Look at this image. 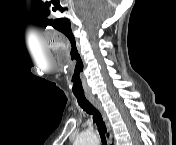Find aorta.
<instances>
[{"label":"aorta","instance_id":"obj_1","mask_svg":"<svg viewBox=\"0 0 176 145\" xmlns=\"http://www.w3.org/2000/svg\"><path fill=\"white\" fill-rule=\"evenodd\" d=\"M76 143L79 145H97L98 139L94 133L85 132L77 138Z\"/></svg>","mask_w":176,"mask_h":145}]
</instances>
